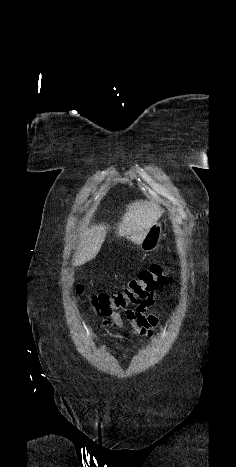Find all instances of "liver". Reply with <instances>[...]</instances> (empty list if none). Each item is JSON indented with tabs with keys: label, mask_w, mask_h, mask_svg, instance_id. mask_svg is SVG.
Masks as SVG:
<instances>
[{
	"label": "liver",
	"mask_w": 236,
	"mask_h": 467,
	"mask_svg": "<svg viewBox=\"0 0 236 467\" xmlns=\"http://www.w3.org/2000/svg\"><path fill=\"white\" fill-rule=\"evenodd\" d=\"M163 209L155 202L138 200L126 207V212L117 224L118 236L140 245L148 230L158 221ZM109 226L104 224L82 228L74 265L80 266L96 257L105 240Z\"/></svg>",
	"instance_id": "6515ba94"
}]
</instances>
